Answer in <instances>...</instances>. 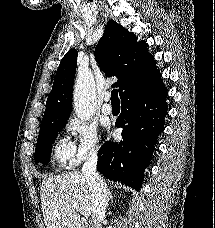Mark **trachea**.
<instances>
[{"instance_id": "obj_1", "label": "trachea", "mask_w": 215, "mask_h": 228, "mask_svg": "<svg viewBox=\"0 0 215 228\" xmlns=\"http://www.w3.org/2000/svg\"><path fill=\"white\" fill-rule=\"evenodd\" d=\"M111 103L112 104L120 103V100L118 97V90L116 88H114V90H112L111 92Z\"/></svg>"}]
</instances>
